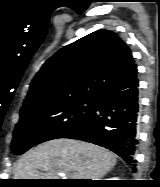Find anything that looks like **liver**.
I'll list each match as a JSON object with an SVG mask.
<instances>
[{
    "mask_svg": "<svg viewBox=\"0 0 160 187\" xmlns=\"http://www.w3.org/2000/svg\"><path fill=\"white\" fill-rule=\"evenodd\" d=\"M116 161V156L103 147L55 139L27 151L17 162L14 179H59V173L75 172L76 179L100 180Z\"/></svg>",
    "mask_w": 160,
    "mask_h": 187,
    "instance_id": "6515ba94",
    "label": "liver"
}]
</instances>
